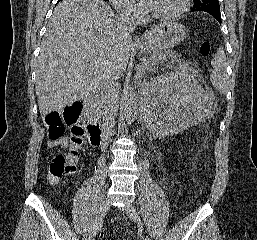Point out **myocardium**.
Returning a JSON list of instances; mask_svg holds the SVG:
<instances>
[{
  "label": "myocardium",
  "mask_w": 257,
  "mask_h": 240,
  "mask_svg": "<svg viewBox=\"0 0 257 240\" xmlns=\"http://www.w3.org/2000/svg\"><path fill=\"white\" fill-rule=\"evenodd\" d=\"M190 0H181L179 7L171 13L168 14H157L148 8L149 16L157 21H170L180 17L189 8Z\"/></svg>",
  "instance_id": "myocardium-1"
}]
</instances>
